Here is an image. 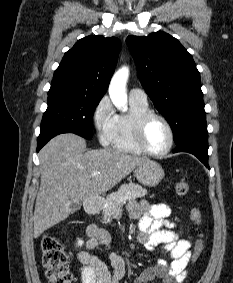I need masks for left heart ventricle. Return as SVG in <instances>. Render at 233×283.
<instances>
[{"label":"left heart ventricle","instance_id":"1","mask_svg":"<svg viewBox=\"0 0 233 283\" xmlns=\"http://www.w3.org/2000/svg\"><path fill=\"white\" fill-rule=\"evenodd\" d=\"M145 143L154 151H163L169 144V133L166 126L158 119H153L145 131Z\"/></svg>","mask_w":233,"mask_h":283}]
</instances>
